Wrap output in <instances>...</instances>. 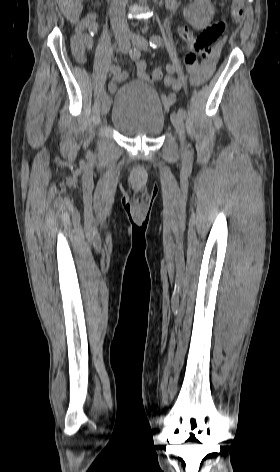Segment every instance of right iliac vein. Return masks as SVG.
Wrapping results in <instances>:
<instances>
[{"label":"right iliac vein","mask_w":280,"mask_h":472,"mask_svg":"<svg viewBox=\"0 0 280 472\" xmlns=\"http://www.w3.org/2000/svg\"><path fill=\"white\" fill-rule=\"evenodd\" d=\"M118 45H119V48L122 52H124V53L128 52L129 49H130L129 37H127V36L119 37L118 38ZM110 106H111L110 97L108 95H105L104 98H103L102 107H101L102 115H106L109 112Z\"/></svg>","instance_id":"obj_1"}]
</instances>
